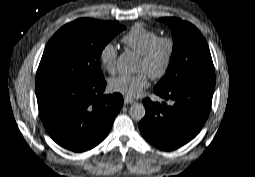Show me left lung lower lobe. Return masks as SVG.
<instances>
[{"mask_svg":"<svg viewBox=\"0 0 255 177\" xmlns=\"http://www.w3.org/2000/svg\"><path fill=\"white\" fill-rule=\"evenodd\" d=\"M215 79H195L166 91L154 93L172 103L144 99L145 117L139 128L144 138L162 150L176 149L201 130L208 118Z\"/></svg>","mask_w":255,"mask_h":177,"instance_id":"left-lung-lower-lobe-1","label":"left lung lower lobe"}]
</instances>
